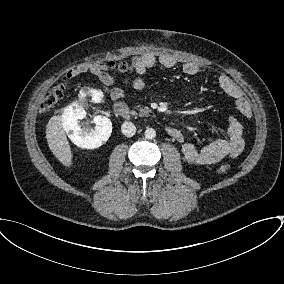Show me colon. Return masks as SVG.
Returning a JSON list of instances; mask_svg holds the SVG:
<instances>
[{"instance_id": "5ec220e1", "label": "colon", "mask_w": 284, "mask_h": 284, "mask_svg": "<svg viewBox=\"0 0 284 284\" xmlns=\"http://www.w3.org/2000/svg\"><path fill=\"white\" fill-rule=\"evenodd\" d=\"M106 66L120 74H127L132 70V65L128 61H120L118 63L111 62ZM66 88V81L51 88L42 99L40 104V112L44 113L50 110L63 97ZM218 170L220 173H226L229 170V166L221 165Z\"/></svg>"}]
</instances>
